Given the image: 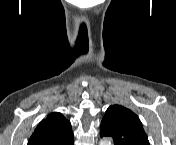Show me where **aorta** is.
<instances>
[{"instance_id": "762f6f07", "label": "aorta", "mask_w": 176, "mask_h": 145, "mask_svg": "<svg viewBox=\"0 0 176 145\" xmlns=\"http://www.w3.org/2000/svg\"><path fill=\"white\" fill-rule=\"evenodd\" d=\"M99 145H111V141L109 139H102Z\"/></svg>"}]
</instances>
